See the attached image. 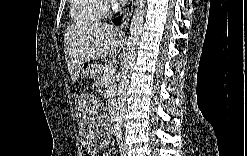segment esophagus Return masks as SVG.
<instances>
[{
	"label": "esophagus",
	"mask_w": 247,
	"mask_h": 156,
	"mask_svg": "<svg viewBox=\"0 0 247 156\" xmlns=\"http://www.w3.org/2000/svg\"><path fill=\"white\" fill-rule=\"evenodd\" d=\"M135 6V1L134 0H130L124 10V24H127V22L130 20L132 13H133V9ZM121 28H123V25L121 26Z\"/></svg>",
	"instance_id": "esophagus-1"
}]
</instances>
